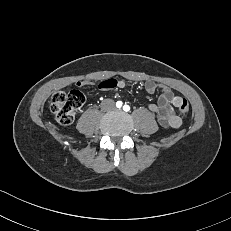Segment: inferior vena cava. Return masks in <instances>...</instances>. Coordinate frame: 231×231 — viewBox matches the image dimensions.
Segmentation results:
<instances>
[{
    "label": "inferior vena cava",
    "mask_w": 231,
    "mask_h": 231,
    "mask_svg": "<svg viewBox=\"0 0 231 231\" xmlns=\"http://www.w3.org/2000/svg\"><path fill=\"white\" fill-rule=\"evenodd\" d=\"M101 107L105 111H110V110H113L115 108V104H114V101L112 99H105L101 103Z\"/></svg>",
    "instance_id": "602c4592"
}]
</instances>
